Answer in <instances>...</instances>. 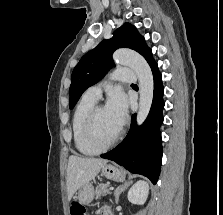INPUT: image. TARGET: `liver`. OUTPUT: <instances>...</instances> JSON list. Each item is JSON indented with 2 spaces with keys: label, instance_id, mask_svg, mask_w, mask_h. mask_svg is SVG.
Segmentation results:
<instances>
[{
  "label": "liver",
  "instance_id": "obj_1",
  "mask_svg": "<svg viewBox=\"0 0 223 215\" xmlns=\"http://www.w3.org/2000/svg\"><path fill=\"white\" fill-rule=\"evenodd\" d=\"M107 159H97V157H78L70 155L67 167V193L68 201L72 199L75 191L83 187L94 179L99 173Z\"/></svg>",
  "mask_w": 223,
  "mask_h": 215
}]
</instances>
